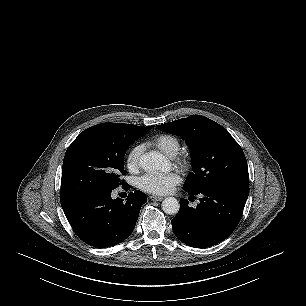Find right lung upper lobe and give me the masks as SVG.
<instances>
[{"instance_id": "obj_1", "label": "right lung upper lobe", "mask_w": 306, "mask_h": 306, "mask_svg": "<svg viewBox=\"0 0 306 306\" xmlns=\"http://www.w3.org/2000/svg\"><path fill=\"white\" fill-rule=\"evenodd\" d=\"M100 125H108V126L115 127L117 129H120L124 132H129V133L149 132L152 128V126L141 127V126H135L132 124H124V123H104Z\"/></svg>"}]
</instances>
